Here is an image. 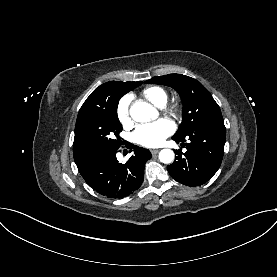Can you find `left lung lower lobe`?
I'll list each match as a JSON object with an SVG mask.
<instances>
[{
    "mask_svg": "<svg viewBox=\"0 0 277 277\" xmlns=\"http://www.w3.org/2000/svg\"><path fill=\"white\" fill-rule=\"evenodd\" d=\"M184 143L187 151L176 150L175 161L167 166L170 176L187 186H199L207 182L219 169L226 139L223 117L208 120L185 138H172Z\"/></svg>",
    "mask_w": 277,
    "mask_h": 277,
    "instance_id": "obj_1",
    "label": "left lung lower lobe"
}]
</instances>
